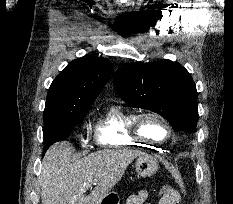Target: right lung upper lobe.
Here are the masks:
<instances>
[{"instance_id": "obj_1", "label": "right lung upper lobe", "mask_w": 233, "mask_h": 204, "mask_svg": "<svg viewBox=\"0 0 233 204\" xmlns=\"http://www.w3.org/2000/svg\"><path fill=\"white\" fill-rule=\"evenodd\" d=\"M111 71L112 63L109 60L93 55L69 63L48 90L44 120L89 110Z\"/></svg>"}]
</instances>
